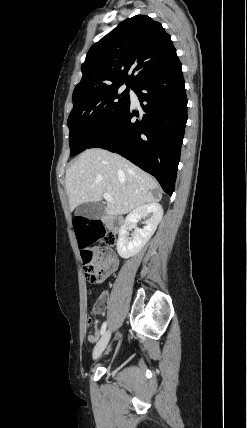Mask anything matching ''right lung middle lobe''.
<instances>
[{
    "label": "right lung middle lobe",
    "instance_id": "1",
    "mask_svg": "<svg viewBox=\"0 0 247 428\" xmlns=\"http://www.w3.org/2000/svg\"><path fill=\"white\" fill-rule=\"evenodd\" d=\"M120 87L85 93L73 99V109L67 121L72 156L89 148L129 105V88L121 92Z\"/></svg>",
    "mask_w": 247,
    "mask_h": 428
}]
</instances>
